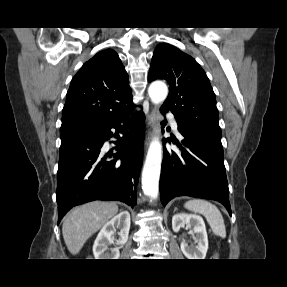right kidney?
Here are the masks:
<instances>
[{
  "label": "right kidney",
  "mask_w": 287,
  "mask_h": 287,
  "mask_svg": "<svg viewBox=\"0 0 287 287\" xmlns=\"http://www.w3.org/2000/svg\"><path fill=\"white\" fill-rule=\"evenodd\" d=\"M116 228L118 232L117 245H124L128 240L130 229V214L127 211H122L109 222H107L100 230L94 245L93 254L95 259H119L120 252L118 248L109 249V245L114 240Z\"/></svg>",
  "instance_id": "obj_1"
}]
</instances>
